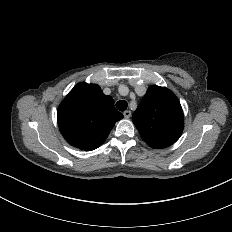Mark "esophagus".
<instances>
[{
    "label": "esophagus",
    "instance_id": "obj_1",
    "mask_svg": "<svg viewBox=\"0 0 232 232\" xmlns=\"http://www.w3.org/2000/svg\"><path fill=\"white\" fill-rule=\"evenodd\" d=\"M123 115H124L125 118L128 119L131 116V111L130 110H126V111L123 112Z\"/></svg>",
    "mask_w": 232,
    "mask_h": 232
}]
</instances>
